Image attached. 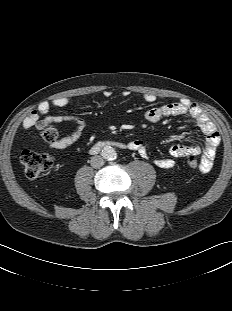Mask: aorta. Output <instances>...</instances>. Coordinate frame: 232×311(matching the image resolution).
Listing matches in <instances>:
<instances>
[{"instance_id":"1","label":"aorta","mask_w":232,"mask_h":311,"mask_svg":"<svg viewBox=\"0 0 232 311\" xmlns=\"http://www.w3.org/2000/svg\"><path fill=\"white\" fill-rule=\"evenodd\" d=\"M102 157L107 162H113L117 158L116 150L111 146H106L102 149Z\"/></svg>"}]
</instances>
